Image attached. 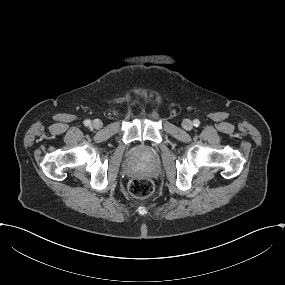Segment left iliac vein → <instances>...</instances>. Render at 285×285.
Instances as JSON below:
<instances>
[{
	"label": "left iliac vein",
	"instance_id": "4c4485c4",
	"mask_svg": "<svg viewBox=\"0 0 285 285\" xmlns=\"http://www.w3.org/2000/svg\"><path fill=\"white\" fill-rule=\"evenodd\" d=\"M182 126L186 130H191L193 128V123L189 119H185L182 121Z\"/></svg>",
	"mask_w": 285,
	"mask_h": 285
}]
</instances>
